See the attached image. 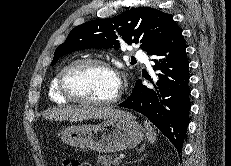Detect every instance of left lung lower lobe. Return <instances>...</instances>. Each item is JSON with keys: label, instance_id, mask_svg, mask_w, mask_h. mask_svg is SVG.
<instances>
[{"label": "left lung lower lobe", "instance_id": "obj_1", "mask_svg": "<svg viewBox=\"0 0 231 166\" xmlns=\"http://www.w3.org/2000/svg\"><path fill=\"white\" fill-rule=\"evenodd\" d=\"M149 55L157 71L153 86L141 80L120 107L146 116L175 146L180 154L189 123V61L182 30L176 26L170 35Z\"/></svg>", "mask_w": 231, "mask_h": 166}]
</instances>
